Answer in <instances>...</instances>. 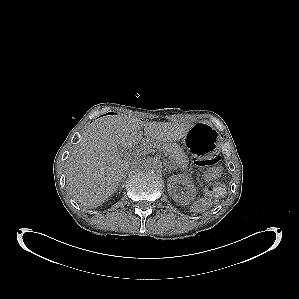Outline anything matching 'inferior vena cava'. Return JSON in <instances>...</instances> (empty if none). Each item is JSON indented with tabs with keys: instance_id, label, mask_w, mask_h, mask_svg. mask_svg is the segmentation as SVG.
<instances>
[{
	"instance_id": "602c4592",
	"label": "inferior vena cava",
	"mask_w": 299,
	"mask_h": 299,
	"mask_svg": "<svg viewBox=\"0 0 299 299\" xmlns=\"http://www.w3.org/2000/svg\"><path fill=\"white\" fill-rule=\"evenodd\" d=\"M137 164H138V160H134V161H132V162L129 163V167H130V168H133V167H135Z\"/></svg>"
}]
</instances>
